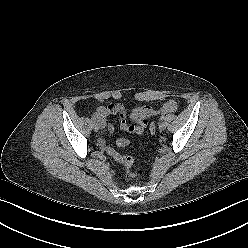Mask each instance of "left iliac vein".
Here are the masks:
<instances>
[{
	"label": "left iliac vein",
	"instance_id": "4c4485c4",
	"mask_svg": "<svg viewBox=\"0 0 248 248\" xmlns=\"http://www.w3.org/2000/svg\"><path fill=\"white\" fill-rule=\"evenodd\" d=\"M167 124L165 122H160L159 123V130L163 131L166 129Z\"/></svg>",
	"mask_w": 248,
	"mask_h": 248
}]
</instances>
